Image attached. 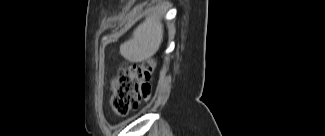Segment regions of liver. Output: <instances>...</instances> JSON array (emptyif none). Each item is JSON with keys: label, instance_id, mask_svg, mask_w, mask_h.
<instances>
[{"label": "liver", "instance_id": "1", "mask_svg": "<svg viewBox=\"0 0 325 136\" xmlns=\"http://www.w3.org/2000/svg\"><path fill=\"white\" fill-rule=\"evenodd\" d=\"M170 6L168 1L161 5L159 14L146 18L133 32L132 38L120 45V53L131 62H142L151 58L163 40L161 17Z\"/></svg>", "mask_w": 325, "mask_h": 136}]
</instances>
